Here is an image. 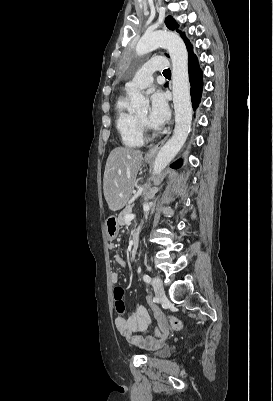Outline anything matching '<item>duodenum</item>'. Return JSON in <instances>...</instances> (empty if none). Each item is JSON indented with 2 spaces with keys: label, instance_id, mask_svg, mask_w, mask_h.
<instances>
[{
  "label": "duodenum",
  "instance_id": "duodenum-1",
  "mask_svg": "<svg viewBox=\"0 0 273 401\" xmlns=\"http://www.w3.org/2000/svg\"><path fill=\"white\" fill-rule=\"evenodd\" d=\"M138 244H139L138 237L135 236L133 241H132V244H131V257L132 258H135L136 254H137Z\"/></svg>",
  "mask_w": 273,
  "mask_h": 401
}]
</instances>
